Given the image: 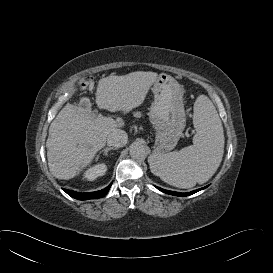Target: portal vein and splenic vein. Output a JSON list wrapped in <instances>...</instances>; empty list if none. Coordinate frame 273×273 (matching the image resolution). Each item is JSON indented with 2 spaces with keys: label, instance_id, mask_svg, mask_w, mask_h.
I'll use <instances>...</instances> for the list:
<instances>
[{
  "label": "portal vein and splenic vein",
  "instance_id": "1",
  "mask_svg": "<svg viewBox=\"0 0 273 273\" xmlns=\"http://www.w3.org/2000/svg\"><path fill=\"white\" fill-rule=\"evenodd\" d=\"M98 116H102V115H98ZM98 116H94V117H98Z\"/></svg>",
  "mask_w": 273,
  "mask_h": 273
}]
</instances>
